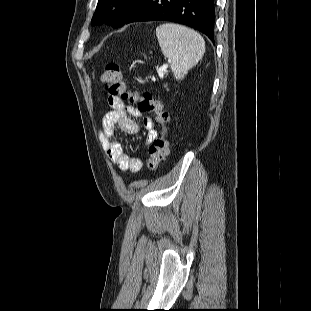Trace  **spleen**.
Here are the masks:
<instances>
[{"mask_svg":"<svg viewBox=\"0 0 311 311\" xmlns=\"http://www.w3.org/2000/svg\"><path fill=\"white\" fill-rule=\"evenodd\" d=\"M161 51L170 62L174 77L181 80L205 53V42L199 33L188 27L164 23L156 28Z\"/></svg>","mask_w":311,"mask_h":311,"instance_id":"1","label":"spleen"}]
</instances>
